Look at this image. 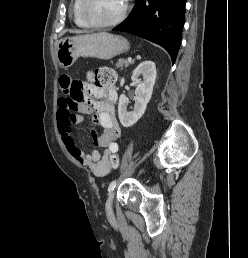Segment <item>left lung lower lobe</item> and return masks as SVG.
<instances>
[{"mask_svg":"<svg viewBox=\"0 0 248 258\" xmlns=\"http://www.w3.org/2000/svg\"><path fill=\"white\" fill-rule=\"evenodd\" d=\"M186 0H136L113 31L128 32L162 46L174 63L181 43Z\"/></svg>","mask_w":248,"mask_h":258,"instance_id":"1","label":"left lung lower lobe"}]
</instances>
